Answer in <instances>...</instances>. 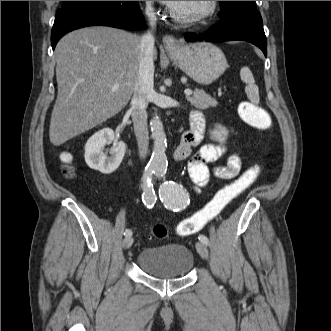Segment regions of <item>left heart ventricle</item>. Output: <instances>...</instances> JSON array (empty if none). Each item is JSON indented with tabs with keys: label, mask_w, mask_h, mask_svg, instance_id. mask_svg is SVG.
Returning a JSON list of instances; mask_svg holds the SVG:
<instances>
[{
	"label": "left heart ventricle",
	"mask_w": 331,
	"mask_h": 331,
	"mask_svg": "<svg viewBox=\"0 0 331 331\" xmlns=\"http://www.w3.org/2000/svg\"><path fill=\"white\" fill-rule=\"evenodd\" d=\"M205 6V1H177V3L172 6L174 11L182 15H192Z\"/></svg>",
	"instance_id": "left-heart-ventricle-1"
}]
</instances>
